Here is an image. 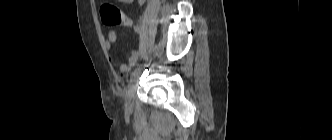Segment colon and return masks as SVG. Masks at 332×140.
Returning a JSON list of instances; mask_svg holds the SVG:
<instances>
[{
    "label": "colon",
    "instance_id": "obj_1",
    "mask_svg": "<svg viewBox=\"0 0 332 140\" xmlns=\"http://www.w3.org/2000/svg\"><path fill=\"white\" fill-rule=\"evenodd\" d=\"M100 15L107 26H131L130 19L112 3H104L100 8Z\"/></svg>",
    "mask_w": 332,
    "mask_h": 140
}]
</instances>
